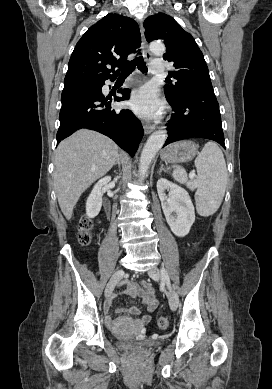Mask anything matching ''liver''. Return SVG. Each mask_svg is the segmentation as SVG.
Listing matches in <instances>:
<instances>
[{"label": "liver", "instance_id": "6515ba94", "mask_svg": "<svg viewBox=\"0 0 272 389\" xmlns=\"http://www.w3.org/2000/svg\"><path fill=\"white\" fill-rule=\"evenodd\" d=\"M118 146L98 132L81 129L55 152L54 187L64 216L70 220L81 194L116 163Z\"/></svg>", "mask_w": 272, "mask_h": 389}]
</instances>
